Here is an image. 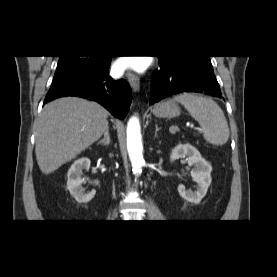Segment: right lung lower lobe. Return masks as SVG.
I'll return each mask as SVG.
<instances>
[{
	"label": "right lung lower lobe",
	"mask_w": 277,
	"mask_h": 277,
	"mask_svg": "<svg viewBox=\"0 0 277 277\" xmlns=\"http://www.w3.org/2000/svg\"><path fill=\"white\" fill-rule=\"evenodd\" d=\"M111 58L72 79L52 86L45 102L64 96H78L97 101L115 117L124 119L132 102L131 88L126 80L109 76Z\"/></svg>",
	"instance_id": "1"
}]
</instances>
